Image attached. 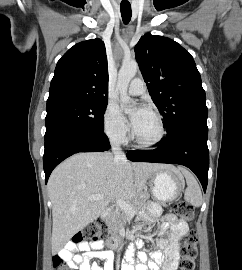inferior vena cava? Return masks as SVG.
<instances>
[{
  "instance_id": "inferior-vena-cava-1",
  "label": "inferior vena cava",
  "mask_w": 242,
  "mask_h": 270,
  "mask_svg": "<svg viewBox=\"0 0 242 270\" xmlns=\"http://www.w3.org/2000/svg\"><path fill=\"white\" fill-rule=\"evenodd\" d=\"M111 148H112V151H113V154H114V157L117 158V159H126V156L125 154L122 152L121 150V147H120V143L119 142H113L111 144Z\"/></svg>"
}]
</instances>
